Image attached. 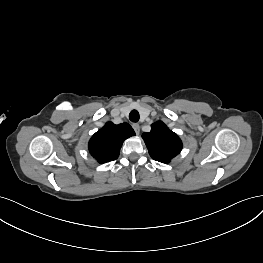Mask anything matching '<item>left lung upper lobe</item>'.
Here are the masks:
<instances>
[{
	"label": "left lung upper lobe",
	"mask_w": 263,
	"mask_h": 263,
	"mask_svg": "<svg viewBox=\"0 0 263 263\" xmlns=\"http://www.w3.org/2000/svg\"><path fill=\"white\" fill-rule=\"evenodd\" d=\"M151 127L149 133L142 134L150 156L162 163L170 162L182 149L180 138L161 121Z\"/></svg>",
	"instance_id": "obj_1"
}]
</instances>
